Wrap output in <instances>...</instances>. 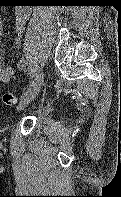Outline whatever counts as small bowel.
Returning a JSON list of instances; mask_svg holds the SVG:
<instances>
[{"label": "small bowel", "mask_w": 121, "mask_h": 197, "mask_svg": "<svg viewBox=\"0 0 121 197\" xmlns=\"http://www.w3.org/2000/svg\"><path fill=\"white\" fill-rule=\"evenodd\" d=\"M29 17V9L18 7L15 10V47L21 44V34L24 31L26 21ZM2 36V18L0 16V38ZM13 75V69L10 66H3V57L0 48V84L7 83Z\"/></svg>", "instance_id": "small-bowel-1"}]
</instances>
